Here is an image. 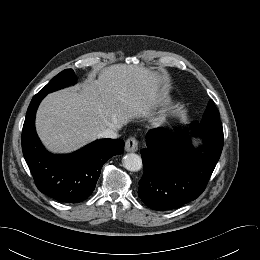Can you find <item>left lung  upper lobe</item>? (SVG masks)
Listing matches in <instances>:
<instances>
[{
  "mask_svg": "<svg viewBox=\"0 0 260 260\" xmlns=\"http://www.w3.org/2000/svg\"><path fill=\"white\" fill-rule=\"evenodd\" d=\"M193 124L198 127H209V128H216L221 130L223 129L222 123L219 118V112L213 100H210V102L208 103L206 111L200 123L193 122Z\"/></svg>",
  "mask_w": 260,
  "mask_h": 260,
  "instance_id": "1",
  "label": "left lung upper lobe"
}]
</instances>
